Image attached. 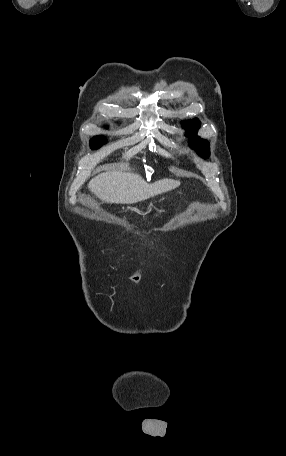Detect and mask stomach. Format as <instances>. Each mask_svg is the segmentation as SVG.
Segmentation results:
<instances>
[{
    "label": "stomach",
    "mask_w": 286,
    "mask_h": 456,
    "mask_svg": "<svg viewBox=\"0 0 286 456\" xmlns=\"http://www.w3.org/2000/svg\"><path fill=\"white\" fill-rule=\"evenodd\" d=\"M161 212H162V210H158V213H161Z\"/></svg>",
    "instance_id": "1"
}]
</instances>
